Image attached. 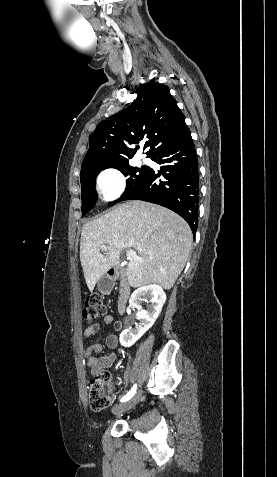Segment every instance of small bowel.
<instances>
[{
  "label": "small bowel",
  "instance_id": "1",
  "mask_svg": "<svg viewBox=\"0 0 277 477\" xmlns=\"http://www.w3.org/2000/svg\"><path fill=\"white\" fill-rule=\"evenodd\" d=\"M104 325L106 329L112 325L116 331H120L123 327L122 322L115 321L111 315H106L104 317ZM99 328L100 326L98 324L87 327L84 331V337H91L99 330ZM118 343V337L115 334H109L105 339V344L110 350H115ZM102 351L103 346L99 343L92 344L85 351L87 366L90 369L92 377H95L105 369L110 368L117 359V355L114 352L107 355H101Z\"/></svg>",
  "mask_w": 277,
  "mask_h": 477
}]
</instances>
